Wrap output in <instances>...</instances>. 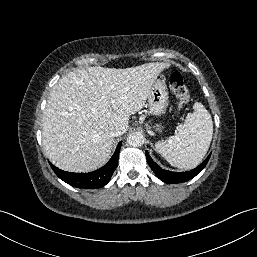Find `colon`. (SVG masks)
Instances as JSON below:
<instances>
[{"instance_id":"colon-1","label":"colon","mask_w":257,"mask_h":257,"mask_svg":"<svg viewBox=\"0 0 257 257\" xmlns=\"http://www.w3.org/2000/svg\"><path fill=\"white\" fill-rule=\"evenodd\" d=\"M168 81L171 91L179 101V107L185 106L189 102L190 96L182 75L178 71H173L170 73Z\"/></svg>"}]
</instances>
